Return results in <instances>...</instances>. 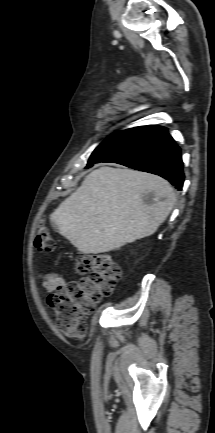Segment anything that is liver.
Segmentation results:
<instances>
[{
    "label": "liver",
    "mask_w": 215,
    "mask_h": 433,
    "mask_svg": "<svg viewBox=\"0 0 215 433\" xmlns=\"http://www.w3.org/2000/svg\"><path fill=\"white\" fill-rule=\"evenodd\" d=\"M147 194L150 203L144 201ZM175 202L173 188L162 177L101 167L85 177L50 220L78 251L98 254L154 234Z\"/></svg>",
    "instance_id": "liver-1"
}]
</instances>
